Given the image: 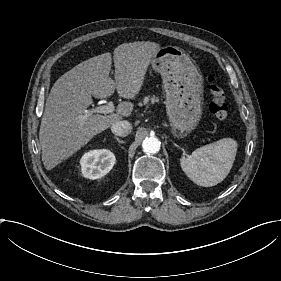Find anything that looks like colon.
<instances>
[{"mask_svg": "<svg viewBox=\"0 0 281 281\" xmlns=\"http://www.w3.org/2000/svg\"><path fill=\"white\" fill-rule=\"evenodd\" d=\"M206 88L210 96V111L214 121L217 124L227 123L229 112L221 83L214 76H208Z\"/></svg>", "mask_w": 281, "mask_h": 281, "instance_id": "5ec220e1", "label": "colon"}]
</instances>
